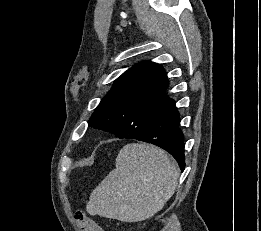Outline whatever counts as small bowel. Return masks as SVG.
<instances>
[{
    "instance_id": "1",
    "label": "small bowel",
    "mask_w": 261,
    "mask_h": 231,
    "mask_svg": "<svg viewBox=\"0 0 261 231\" xmlns=\"http://www.w3.org/2000/svg\"><path fill=\"white\" fill-rule=\"evenodd\" d=\"M82 231H104L102 227L97 225L93 220H89V226L82 229Z\"/></svg>"
}]
</instances>
